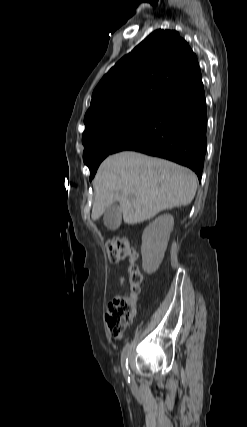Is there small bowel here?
Segmentation results:
<instances>
[{"label":"small bowel","mask_w":247,"mask_h":427,"mask_svg":"<svg viewBox=\"0 0 247 427\" xmlns=\"http://www.w3.org/2000/svg\"><path fill=\"white\" fill-rule=\"evenodd\" d=\"M124 284V277L123 276H121L120 277V285H123Z\"/></svg>","instance_id":"small-bowel-1"}]
</instances>
